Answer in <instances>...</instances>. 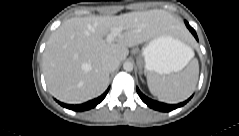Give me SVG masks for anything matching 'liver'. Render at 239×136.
Here are the masks:
<instances>
[{
	"label": "liver",
	"mask_w": 239,
	"mask_h": 136,
	"mask_svg": "<svg viewBox=\"0 0 239 136\" xmlns=\"http://www.w3.org/2000/svg\"><path fill=\"white\" fill-rule=\"evenodd\" d=\"M123 27L113 43L105 37ZM181 22L164 10L130 12L119 16L77 17L64 21L50 36L43 53V73L50 93L60 101L79 104L101 95L109 84L102 62H119L128 47L147 42L162 32H182Z\"/></svg>",
	"instance_id": "1"
}]
</instances>
